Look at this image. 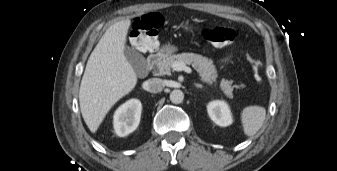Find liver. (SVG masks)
Segmentation results:
<instances>
[{
	"label": "liver",
	"instance_id": "1",
	"mask_svg": "<svg viewBox=\"0 0 337 171\" xmlns=\"http://www.w3.org/2000/svg\"><path fill=\"white\" fill-rule=\"evenodd\" d=\"M130 24L126 19L110 26L87 61L79 89V104L92 133L97 131L111 107L137 84V75L125 56Z\"/></svg>",
	"mask_w": 337,
	"mask_h": 171
}]
</instances>
